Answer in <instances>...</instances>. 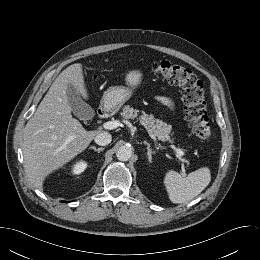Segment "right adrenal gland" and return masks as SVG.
<instances>
[{
  "mask_svg": "<svg viewBox=\"0 0 260 260\" xmlns=\"http://www.w3.org/2000/svg\"><path fill=\"white\" fill-rule=\"evenodd\" d=\"M90 149H93L94 151H97L98 153H99L100 151H103V150H104L103 147L96 148L95 146H91Z\"/></svg>",
  "mask_w": 260,
  "mask_h": 260,
  "instance_id": "1",
  "label": "right adrenal gland"
}]
</instances>
